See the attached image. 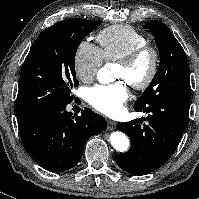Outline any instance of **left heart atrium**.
<instances>
[{
    "mask_svg": "<svg viewBox=\"0 0 199 199\" xmlns=\"http://www.w3.org/2000/svg\"><path fill=\"white\" fill-rule=\"evenodd\" d=\"M129 97L124 80L110 85H98L89 89L87 100L96 110L108 116H117Z\"/></svg>",
    "mask_w": 199,
    "mask_h": 199,
    "instance_id": "39dd6f15",
    "label": "left heart atrium"
}]
</instances>
